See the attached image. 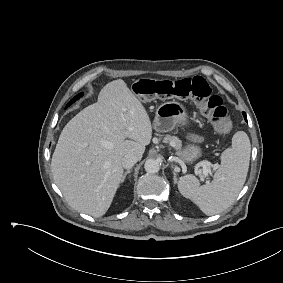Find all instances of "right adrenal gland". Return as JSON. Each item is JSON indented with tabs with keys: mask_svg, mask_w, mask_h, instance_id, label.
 Masks as SVG:
<instances>
[{
	"mask_svg": "<svg viewBox=\"0 0 283 283\" xmlns=\"http://www.w3.org/2000/svg\"><path fill=\"white\" fill-rule=\"evenodd\" d=\"M130 173H131V170H127V171L124 173V175H123V177H122V179H121V183L124 182L126 176H127L128 174H130Z\"/></svg>",
	"mask_w": 283,
	"mask_h": 283,
	"instance_id": "obj_1",
	"label": "right adrenal gland"
}]
</instances>
